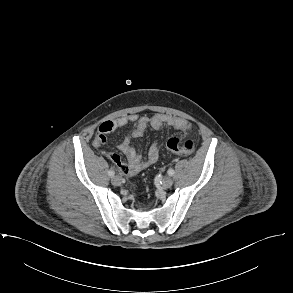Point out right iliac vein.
Wrapping results in <instances>:
<instances>
[{
	"instance_id": "1",
	"label": "right iliac vein",
	"mask_w": 293,
	"mask_h": 293,
	"mask_svg": "<svg viewBox=\"0 0 293 293\" xmlns=\"http://www.w3.org/2000/svg\"><path fill=\"white\" fill-rule=\"evenodd\" d=\"M111 183L114 185V186H119L121 184V178L120 176H114L112 179H111Z\"/></svg>"
}]
</instances>
